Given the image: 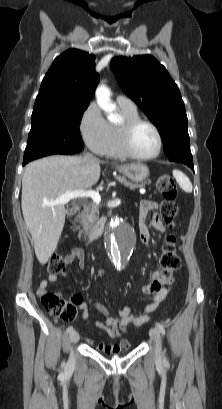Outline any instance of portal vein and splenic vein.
Masks as SVG:
<instances>
[{
    "mask_svg": "<svg viewBox=\"0 0 222 409\" xmlns=\"http://www.w3.org/2000/svg\"><path fill=\"white\" fill-rule=\"evenodd\" d=\"M140 193L144 194L145 190H141ZM75 198H91L93 202L99 204L101 202V197L98 192L93 190H76V191H66L58 198L52 201H46L44 204L47 206H54L58 204H66L70 200Z\"/></svg>",
    "mask_w": 222,
    "mask_h": 409,
    "instance_id": "1",
    "label": "portal vein and splenic vein"
}]
</instances>
